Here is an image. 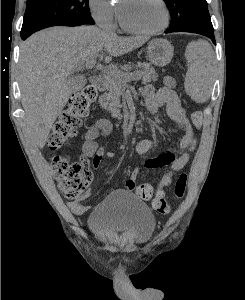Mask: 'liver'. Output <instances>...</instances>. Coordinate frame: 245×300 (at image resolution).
Returning a JSON list of instances; mask_svg holds the SVG:
<instances>
[{"label": "liver", "mask_w": 245, "mask_h": 300, "mask_svg": "<svg viewBox=\"0 0 245 300\" xmlns=\"http://www.w3.org/2000/svg\"><path fill=\"white\" fill-rule=\"evenodd\" d=\"M147 37H121L95 26H56L23 42L20 51L21 102L25 128L39 148L71 96L67 79L88 61L107 53L105 62L141 47Z\"/></svg>", "instance_id": "6515ba94"}]
</instances>
